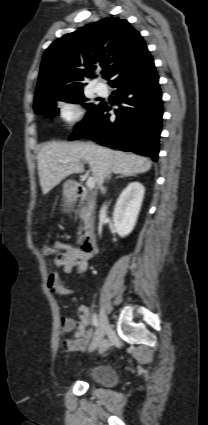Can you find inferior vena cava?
Here are the masks:
<instances>
[{
    "label": "inferior vena cava",
    "mask_w": 208,
    "mask_h": 425,
    "mask_svg": "<svg viewBox=\"0 0 208 425\" xmlns=\"http://www.w3.org/2000/svg\"><path fill=\"white\" fill-rule=\"evenodd\" d=\"M110 174H111V171H110V170H109V171H107L106 177H107L108 179L110 178ZM105 191H106V190H105V188H103V189H102V192H103V193H105Z\"/></svg>",
    "instance_id": "1"
}]
</instances>
